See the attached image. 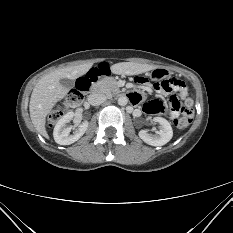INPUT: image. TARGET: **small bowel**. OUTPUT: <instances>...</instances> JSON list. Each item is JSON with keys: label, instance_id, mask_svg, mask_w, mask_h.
<instances>
[{"label": "small bowel", "instance_id": "c3829d8e", "mask_svg": "<svg viewBox=\"0 0 233 233\" xmlns=\"http://www.w3.org/2000/svg\"><path fill=\"white\" fill-rule=\"evenodd\" d=\"M179 81V84H173L171 85V88L170 89H174L176 92H177V96L180 100H186L187 98V88H186V85L184 84V82L181 80V79H177ZM148 88H143V92L146 91ZM157 91L161 94H165L166 92L170 91V90H167V89H162V88H157ZM132 96V101L133 102H139L142 97H143V94L141 92H134L131 94ZM148 103H146L143 107V111L145 113H148V114H153L151 112V110L148 108L147 106ZM140 110L139 109H136L134 111L135 115H139L140 114ZM176 114V112H173L172 115Z\"/></svg>", "mask_w": 233, "mask_h": 233}]
</instances>
